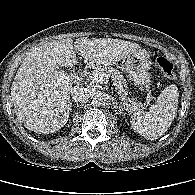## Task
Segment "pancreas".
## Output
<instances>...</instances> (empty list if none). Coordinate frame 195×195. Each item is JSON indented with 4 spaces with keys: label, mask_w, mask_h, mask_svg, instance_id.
<instances>
[{
    "label": "pancreas",
    "mask_w": 195,
    "mask_h": 195,
    "mask_svg": "<svg viewBox=\"0 0 195 195\" xmlns=\"http://www.w3.org/2000/svg\"><path fill=\"white\" fill-rule=\"evenodd\" d=\"M102 75L112 80L113 85L118 90L119 99L121 101L120 103L125 110L130 112L140 110L142 104L137 100L128 98L127 81L125 80L121 72L114 68H100L90 72L87 75V79L90 81L91 86L95 87L96 85L101 83L100 81L94 83L93 80L95 77L99 80Z\"/></svg>",
    "instance_id": "cf45deb5"
}]
</instances>
